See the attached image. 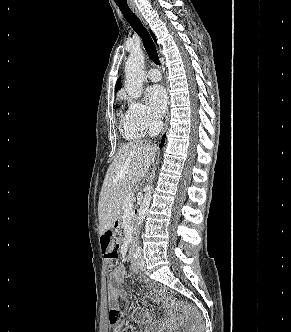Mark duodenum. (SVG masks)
I'll return each mask as SVG.
<instances>
[{
	"instance_id": "obj_1",
	"label": "duodenum",
	"mask_w": 291,
	"mask_h": 332,
	"mask_svg": "<svg viewBox=\"0 0 291 332\" xmlns=\"http://www.w3.org/2000/svg\"><path fill=\"white\" fill-rule=\"evenodd\" d=\"M128 254L130 257L134 256V245L132 244L129 248Z\"/></svg>"
}]
</instances>
